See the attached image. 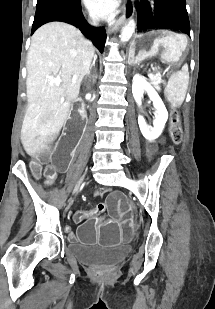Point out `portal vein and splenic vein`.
Wrapping results in <instances>:
<instances>
[{"label":"portal vein and splenic vein","mask_w":215,"mask_h":309,"mask_svg":"<svg viewBox=\"0 0 215 309\" xmlns=\"http://www.w3.org/2000/svg\"><path fill=\"white\" fill-rule=\"evenodd\" d=\"M48 78H50V76H48ZM50 82H54V86H60L62 78H60V76H57V78H50Z\"/></svg>","instance_id":"obj_1"}]
</instances>
